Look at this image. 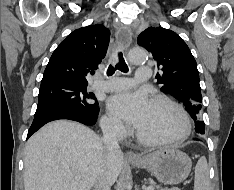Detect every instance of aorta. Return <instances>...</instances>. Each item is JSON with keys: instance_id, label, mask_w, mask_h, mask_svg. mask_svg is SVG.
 Wrapping results in <instances>:
<instances>
[{"instance_id": "1", "label": "aorta", "mask_w": 234, "mask_h": 190, "mask_svg": "<svg viewBox=\"0 0 234 190\" xmlns=\"http://www.w3.org/2000/svg\"><path fill=\"white\" fill-rule=\"evenodd\" d=\"M129 61L132 64H140L147 58V52L143 48H133L129 51Z\"/></svg>"}]
</instances>
